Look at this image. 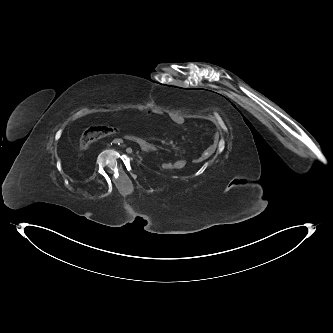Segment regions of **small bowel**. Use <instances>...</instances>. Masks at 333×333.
<instances>
[{"mask_svg": "<svg viewBox=\"0 0 333 333\" xmlns=\"http://www.w3.org/2000/svg\"><path fill=\"white\" fill-rule=\"evenodd\" d=\"M151 112H148V116H151ZM170 120L175 124H183L185 121V118L182 115L174 114L170 117ZM218 144V136L217 133H214L212 144L207 148V150L196 159L197 162H202L206 159H208L214 152ZM186 160L185 159H178L173 162L174 169H182L186 166Z\"/></svg>", "mask_w": 333, "mask_h": 333, "instance_id": "c3829d8e", "label": "small bowel"}]
</instances>
